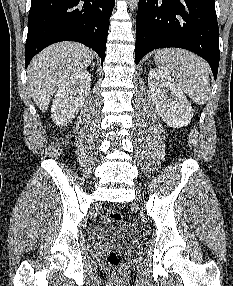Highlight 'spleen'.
<instances>
[{
    "instance_id": "1",
    "label": "spleen",
    "mask_w": 233,
    "mask_h": 286,
    "mask_svg": "<svg viewBox=\"0 0 233 286\" xmlns=\"http://www.w3.org/2000/svg\"><path fill=\"white\" fill-rule=\"evenodd\" d=\"M154 61L161 72L175 77L182 91L196 104H206L210 79L205 60L185 49L164 48L155 51Z\"/></svg>"
}]
</instances>
